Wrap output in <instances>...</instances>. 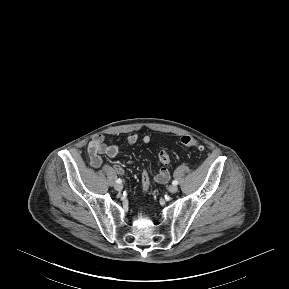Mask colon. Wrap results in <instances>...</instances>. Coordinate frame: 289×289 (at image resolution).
<instances>
[{"mask_svg": "<svg viewBox=\"0 0 289 289\" xmlns=\"http://www.w3.org/2000/svg\"><path fill=\"white\" fill-rule=\"evenodd\" d=\"M181 143L187 147L195 148L198 151H202V149H203L200 142L196 138H194L193 136H189V135L183 136L181 138ZM158 158L162 164H168L170 162V157H169L168 153L164 150L160 151ZM142 187H143L144 192H147L149 190V187H150L149 174H148L147 170H144V172L142 174Z\"/></svg>", "mask_w": 289, "mask_h": 289, "instance_id": "5ec220e1", "label": "colon"}]
</instances>
